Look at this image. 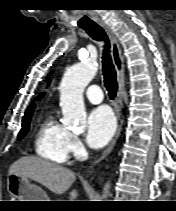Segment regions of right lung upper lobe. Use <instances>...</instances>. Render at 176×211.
<instances>
[{"mask_svg": "<svg viewBox=\"0 0 176 211\" xmlns=\"http://www.w3.org/2000/svg\"><path fill=\"white\" fill-rule=\"evenodd\" d=\"M41 97H42V95L39 96L37 99H40ZM34 107H35L34 104L30 105V106L27 108V110H26V112H25V115L32 114V112H33V110H34ZM25 115H24V116H25Z\"/></svg>", "mask_w": 176, "mask_h": 211, "instance_id": "right-lung-upper-lobe-1", "label": "right lung upper lobe"}]
</instances>
